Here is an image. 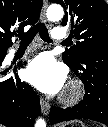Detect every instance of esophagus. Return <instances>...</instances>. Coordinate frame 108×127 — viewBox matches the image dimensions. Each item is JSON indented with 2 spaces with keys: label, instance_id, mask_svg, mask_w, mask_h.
Listing matches in <instances>:
<instances>
[{
  "label": "esophagus",
  "instance_id": "1",
  "mask_svg": "<svg viewBox=\"0 0 108 127\" xmlns=\"http://www.w3.org/2000/svg\"><path fill=\"white\" fill-rule=\"evenodd\" d=\"M47 6H48V1L47 0H44L43 1V6H42V10H41V21L43 23H45L46 25H49L50 22L48 21L47 17H46V9H47ZM40 105H41V110H42V113L44 115H48L49 114V111H50V104L44 100L43 98L40 99Z\"/></svg>",
  "mask_w": 108,
  "mask_h": 127
}]
</instances>
